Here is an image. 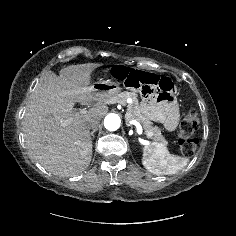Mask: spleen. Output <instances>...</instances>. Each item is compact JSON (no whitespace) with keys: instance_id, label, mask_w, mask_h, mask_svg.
I'll return each mask as SVG.
<instances>
[{"instance_id":"spleen-1","label":"spleen","mask_w":236,"mask_h":236,"mask_svg":"<svg viewBox=\"0 0 236 236\" xmlns=\"http://www.w3.org/2000/svg\"><path fill=\"white\" fill-rule=\"evenodd\" d=\"M188 162V158L172 155L160 144L143 147L142 164L153 174L173 175L182 170Z\"/></svg>"}]
</instances>
